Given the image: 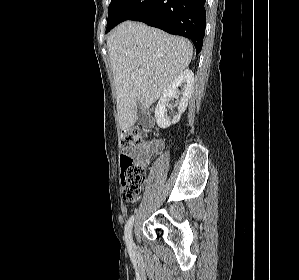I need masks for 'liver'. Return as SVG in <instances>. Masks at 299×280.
<instances>
[{
	"label": "liver",
	"mask_w": 299,
	"mask_h": 280,
	"mask_svg": "<svg viewBox=\"0 0 299 280\" xmlns=\"http://www.w3.org/2000/svg\"><path fill=\"white\" fill-rule=\"evenodd\" d=\"M107 49L121 130L136 123L137 102L143 110L149 109L188 67L193 55L187 39L134 21L116 27L107 39Z\"/></svg>",
	"instance_id": "1"
}]
</instances>
